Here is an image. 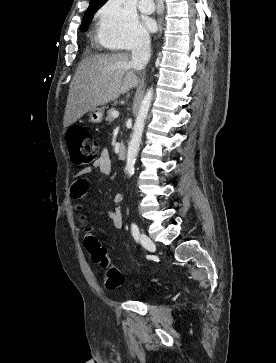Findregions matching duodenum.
Listing matches in <instances>:
<instances>
[{
	"instance_id": "1",
	"label": "duodenum",
	"mask_w": 276,
	"mask_h": 363,
	"mask_svg": "<svg viewBox=\"0 0 276 363\" xmlns=\"http://www.w3.org/2000/svg\"><path fill=\"white\" fill-rule=\"evenodd\" d=\"M117 156L120 160H123L126 157V147L123 143H121L118 147Z\"/></svg>"
}]
</instances>
